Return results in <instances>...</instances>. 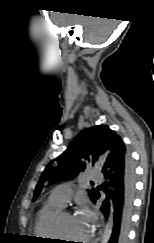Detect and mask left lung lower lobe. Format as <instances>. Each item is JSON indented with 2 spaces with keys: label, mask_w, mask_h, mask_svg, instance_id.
Returning <instances> with one entry per match:
<instances>
[{
  "label": "left lung lower lobe",
  "mask_w": 154,
  "mask_h": 243,
  "mask_svg": "<svg viewBox=\"0 0 154 243\" xmlns=\"http://www.w3.org/2000/svg\"><path fill=\"white\" fill-rule=\"evenodd\" d=\"M121 151L117 156H108L102 173L106 180L103 188L106 198L101 210L106 217L111 214V236L108 243H127L131 223L133 201L135 193V169L129 152ZM98 188L93 198L95 202L100 198Z\"/></svg>",
  "instance_id": "1"
}]
</instances>
